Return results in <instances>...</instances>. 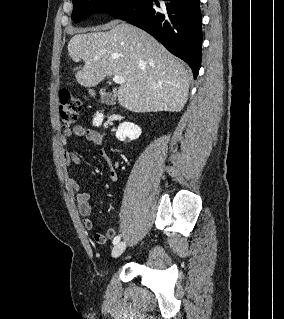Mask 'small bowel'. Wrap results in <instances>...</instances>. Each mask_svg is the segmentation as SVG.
Here are the masks:
<instances>
[{"mask_svg":"<svg viewBox=\"0 0 284 319\" xmlns=\"http://www.w3.org/2000/svg\"><path fill=\"white\" fill-rule=\"evenodd\" d=\"M72 137H84L86 140L96 145H102L104 140L103 135L99 131L95 129H87L81 125H76L72 129L64 130L61 137L62 144L66 145L68 140ZM99 154L102 158L109 161V156L105 149L100 148ZM63 159L67 166L78 165L81 163V157L79 154L67 150L63 153ZM117 178L118 176L116 171L112 169L110 172V179L112 181H116ZM69 183L71 188L78 192L76 196L77 208L83 217V226L86 230H91L93 228V221L90 216L92 214L93 208L90 200L93 194L88 191H81L80 183L76 179L71 178ZM115 235L116 230L114 228H109L106 233L96 232L93 238L96 243L103 244L106 242V240L113 238Z\"/></svg>","mask_w":284,"mask_h":319,"instance_id":"obj_1","label":"small bowel"}]
</instances>
